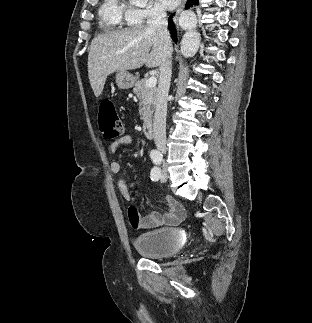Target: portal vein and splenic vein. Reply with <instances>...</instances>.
Here are the masks:
<instances>
[{
	"label": "portal vein and splenic vein",
	"instance_id": "1",
	"mask_svg": "<svg viewBox=\"0 0 312 323\" xmlns=\"http://www.w3.org/2000/svg\"><path fill=\"white\" fill-rule=\"evenodd\" d=\"M156 84H157V78H154V76H152V78H149V80H147L146 82L147 88H155Z\"/></svg>",
	"mask_w": 312,
	"mask_h": 323
}]
</instances>
